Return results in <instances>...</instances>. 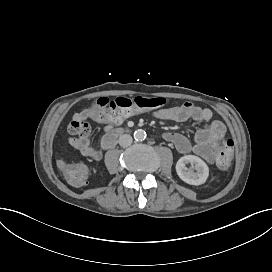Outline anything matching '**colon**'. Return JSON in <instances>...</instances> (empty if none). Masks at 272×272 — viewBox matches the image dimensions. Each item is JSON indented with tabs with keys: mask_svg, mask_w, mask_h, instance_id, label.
Returning a JSON list of instances; mask_svg holds the SVG:
<instances>
[{
	"mask_svg": "<svg viewBox=\"0 0 272 272\" xmlns=\"http://www.w3.org/2000/svg\"><path fill=\"white\" fill-rule=\"evenodd\" d=\"M166 99L164 97H145L137 96L135 98H127L123 95H115L113 97V103L110 104L111 112H109L106 117L107 119L114 123H121L126 120L134 112L141 110H156L162 108L166 104ZM96 105L99 108L106 107L108 105V98L106 96H98L96 98ZM84 111L87 113H91ZM83 115L78 113L72 116L70 119L72 121L68 124V142L69 144H74L78 148H83L87 144V137L90 134L91 127L81 118ZM76 137V138H75ZM235 143L233 140L228 139L223 144H218L216 146V164L219 169L226 170L230 167L231 161L234 155ZM72 154L75 156L77 152L74 150ZM60 173L63 176H69V183L72 186H79L82 180L87 176V168L84 165H71L70 163H63L60 166Z\"/></svg>",
	"mask_w": 272,
	"mask_h": 272,
	"instance_id": "1",
	"label": "colon"
}]
</instances>
